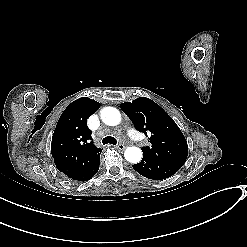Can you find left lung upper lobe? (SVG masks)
<instances>
[{"label":"left lung upper lobe","instance_id":"left-lung-upper-lobe-1","mask_svg":"<svg viewBox=\"0 0 247 247\" xmlns=\"http://www.w3.org/2000/svg\"><path fill=\"white\" fill-rule=\"evenodd\" d=\"M123 112L150 142L141 148L143 154L154 155L182 167L188 154L186 139L175 121L154 101L139 97L121 104Z\"/></svg>","mask_w":247,"mask_h":247}]
</instances>
